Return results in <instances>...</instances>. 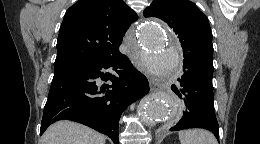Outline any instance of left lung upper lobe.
Masks as SVG:
<instances>
[{
	"mask_svg": "<svg viewBox=\"0 0 260 144\" xmlns=\"http://www.w3.org/2000/svg\"><path fill=\"white\" fill-rule=\"evenodd\" d=\"M145 17L165 21L178 36L184 62L213 72L212 32L209 21L198 7L188 0H154L144 10Z\"/></svg>",
	"mask_w": 260,
	"mask_h": 144,
	"instance_id": "left-lung-upper-lobe-1",
	"label": "left lung upper lobe"
}]
</instances>
